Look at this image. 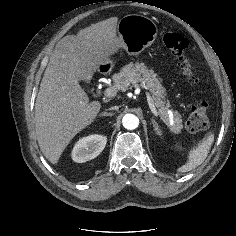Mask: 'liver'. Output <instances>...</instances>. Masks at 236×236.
<instances>
[{
    "mask_svg": "<svg viewBox=\"0 0 236 236\" xmlns=\"http://www.w3.org/2000/svg\"><path fill=\"white\" fill-rule=\"evenodd\" d=\"M117 22L112 17L67 35L51 55L35 103V129L40 150L52 164L101 109L99 101L89 102L79 80L90 81L100 66L111 63Z\"/></svg>",
    "mask_w": 236,
    "mask_h": 236,
    "instance_id": "6515ba94",
    "label": "liver"
}]
</instances>
